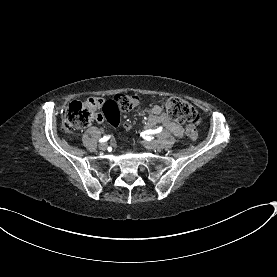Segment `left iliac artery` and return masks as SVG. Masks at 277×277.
<instances>
[{"label":"left iliac artery","mask_w":277,"mask_h":277,"mask_svg":"<svg viewBox=\"0 0 277 277\" xmlns=\"http://www.w3.org/2000/svg\"><path fill=\"white\" fill-rule=\"evenodd\" d=\"M162 131V127H158L157 129L155 130H147V131H144L141 133V136L146 139V140H151V138L148 136V135H152V134H157V133H160Z\"/></svg>","instance_id":"obj_1"}]
</instances>
